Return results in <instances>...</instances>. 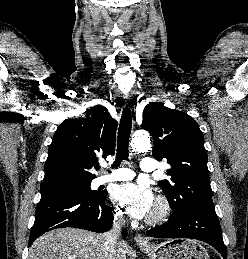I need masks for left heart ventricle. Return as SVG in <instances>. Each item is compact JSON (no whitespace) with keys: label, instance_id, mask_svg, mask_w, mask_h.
<instances>
[{"label":"left heart ventricle","instance_id":"b2bd125f","mask_svg":"<svg viewBox=\"0 0 248 259\" xmlns=\"http://www.w3.org/2000/svg\"><path fill=\"white\" fill-rule=\"evenodd\" d=\"M155 212H156V206H155V204H154V206H153V208H152V210H151V212H150L149 215L154 214Z\"/></svg>","mask_w":248,"mask_h":259}]
</instances>
